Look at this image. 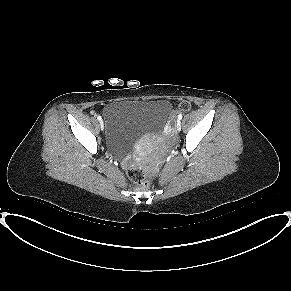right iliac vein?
I'll return each mask as SVG.
<instances>
[{
  "mask_svg": "<svg viewBox=\"0 0 291 291\" xmlns=\"http://www.w3.org/2000/svg\"><path fill=\"white\" fill-rule=\"evenodd\" d=\"M101 128L103 129V121H100Z\"/></svg>",
  "mask_w": 291,
  "mask_h": 291,
  "instance_id": "1",
  "label": "right iliac vein"
}]
</instances>
